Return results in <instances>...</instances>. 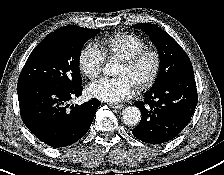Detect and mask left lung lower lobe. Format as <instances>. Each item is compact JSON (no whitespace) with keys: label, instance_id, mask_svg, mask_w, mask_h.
<instances>
[{"label":"left lung lower lobe","instance_id":"left-lung-lower-lobe-1","mask_svg":"<svg viewBox=\"0 0 224 175\" xmlns=\"http://www.w3.org/2000/svg\"><path fill=\"white\" fill-rule=\"evenodd\" d=\"M198 101L194 76L178 77L144 94V101L135 105L142 118L132 134L149 144H163L188 125Z\"/></svg>","mask_w":224,"mask_h":175}]
</instances>
